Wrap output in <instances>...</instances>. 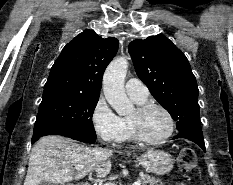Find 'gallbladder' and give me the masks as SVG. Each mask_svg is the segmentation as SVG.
<instances>
[{"label":"gallbladder","mask_w":233,"mask_h":185,"mask_svg":"<svg viewBox=\"0 0 233 185\" xmlns=\"http://www.w3.org/2000/svg\"><path fill=\"white\" fill-rule=\"evenodd\" d=\"M38 185H59V184L58 183H51V182H40Z\"/></svg>","instance_id":"1"}]
</instances>
